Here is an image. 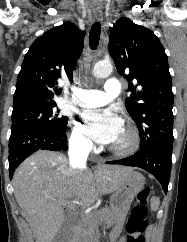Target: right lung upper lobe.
<instances>
[{"instance_id":"obj_1","label":"right lung upper lobe","mask_w":187,"mask_h":242,"mask_svg":"<svg viewBox=\"0 0 187 242\" xmlns=\"http://www.w3.org/2000/svg\"><path fill=\"white\" fill-rule=\"evenodd\" d=\"M85 32L66 22L38 37L23 60L14 94V105L54 102L62 78L72 81L73 70L83 50Z\"/></svg>"}]
</instances>
